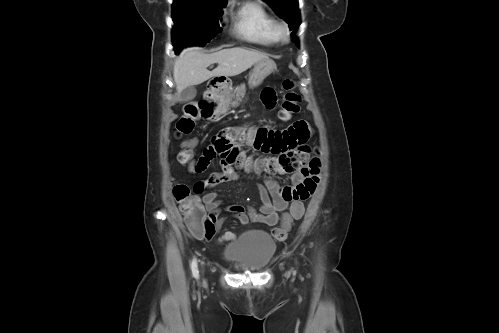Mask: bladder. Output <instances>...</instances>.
Instances as JSON below:
<instances>
[{
	"label": "bladder",
	"instance_id": "obj_1",
	"mask_svg": "<svg viewBox=\"0 0 499 333\" xmlns=\"http://www.w3.org/2000/svg\"><path fill=\"white\" fill-rule=\"evenodd\" d=\"M276 243L262 230H249L225 246L222 256L241 271H261L270 263Z\"/></svg>",
	"mask_w": 499,
	"mask_h": 333
}]
</instances>
